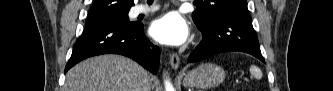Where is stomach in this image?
Masks as SVG:
<instances>
[{
  "instance_id": "obj_1",
  "label": "stomach",
  "mask_w": 333,
  "mask_h": 91,
  "mask_svg": "<svg viewBox=\"0 0 333 91\" xmlns=\"http://www.w3.org/2000/svg\"><path fill=\"white\" fill-rule=\"evenodd\" d=\"M225 79V71L216 64L204 63L188 72L184 79V86L200 89L217 87Z\"/></svg>"
}]
</instances>
